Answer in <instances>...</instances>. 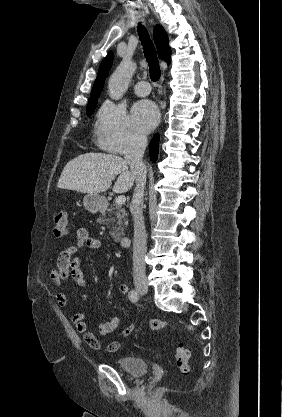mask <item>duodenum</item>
<instances>
[{"mask_svg": "<svg viewBox=\"0 0 282 417\" xmlns=\"http://www.w3.org/2000/svg\"><path fill=\"white\" fill-rule=\"evenodd\" d=\"M130 236L125 235L120 238V245L123 249H126L129 246Z\"/></svg>", "mask_w": 282, "mask_h": 417, "instance_id": "1", "label": "duodenum"}]
</instances>
